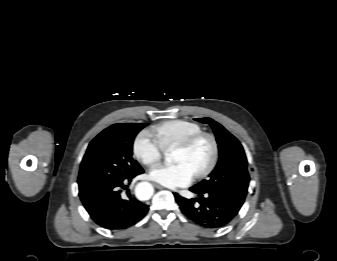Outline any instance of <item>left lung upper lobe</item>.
Here are the masks:
<instances>
[{"label": "left lung upper lobe", "mask_w": 337, "mask_h": 261, "mask_svg": "<svg viewBox=\"0 0 337 261\" xmlns=\"http://www.w3.org/2000/svg\"><path fill=\"white\" fill-rule=\"evenodd\" d=\"M212 127L219 147V161L209 179L196 184L199 192L217 193L238 208L244 203L248 192L249 174L247 159L240 142L222 125L210 118L195 119Z\"/></svg>", "instance_id": "left-lung-upper-lobe-1"}]
</instances>
